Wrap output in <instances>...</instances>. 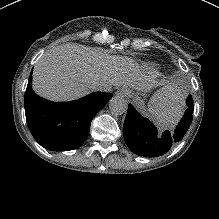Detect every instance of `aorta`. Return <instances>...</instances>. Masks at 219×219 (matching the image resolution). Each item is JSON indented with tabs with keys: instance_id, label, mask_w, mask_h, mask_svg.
I'll return each mask as SVG.
<instances>
[{
	"instance_id": "762f6f07",
	"label": "aorta",
	"mask_w": 219,
	"mask_h": 219,
	"mask_svg": "<svg viewBox=\"0 0 219 219\" xmlns=\"http://www.w3.org/2000/svg\"><path fill=\"white\" fill-rule=\"evenodd\" d=\"M128 106L126 101L120 97H113L109 101V111L113 116H120L127 112Z\"/></svg>"
}]
</instances>
